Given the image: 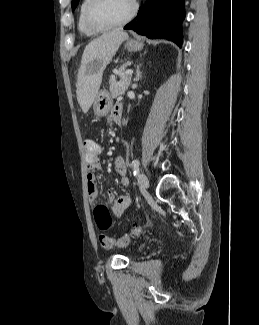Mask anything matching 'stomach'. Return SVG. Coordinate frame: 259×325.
Here are the masks:
<instances>
[{"label":"stomach","mask_w":259,"mask_h":325,"mask_svg":"<svg viewBox=\"0 0 259 325\" xmlns=\"http://www.w3.org/2000/svg\"><path fill=\"white\" fill-rule=\"evenodd\" d=\"M125 48L130 52L142 50L143 44L137 40H129L125 44ZM112 107V98L107 91H99L93 102V110L96 116H106Z\"/></svg>","instance_id":"0dacf381"}]
</instances>
